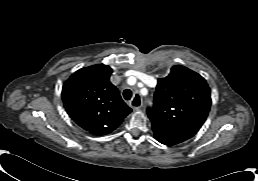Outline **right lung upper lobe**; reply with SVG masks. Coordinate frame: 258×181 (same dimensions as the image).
<instances>
[{"instance_id":"obj_1","label":"right lung upper lobe","mask_w":258,"mask_h":181,"mask_svg":"<svg viewBox=\"0 0 258 181\" xmlns=\"http://www.w3.org/2000/svg\"><path fill=\"white\" fill-rule=\"evenodd\" d=\"M111 74V68L104 64L82 68L62 88L67 113L92 134L110 133L132 111L109 81Z\"/></svg>"}]
</instances>
